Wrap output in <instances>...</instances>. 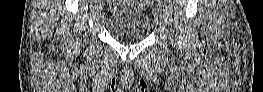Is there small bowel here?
Listing matches in <instances>:
<instances>
[{
  "label": "small bowel",
  "mask_w": 263,
  "mask_h": 92,
  "mask_svg": "<svg viewBox=\"0 0 263 92\" xmlns=\"http://www.w3.org/2000/svg\"><path fill=\"white\" fill-rule=\"evenodd\" d=\"M144 4H147V3H149V2H145V1H142Z\"/></svg>",
  "instance_id": "obj_1"
}]
</instances>
